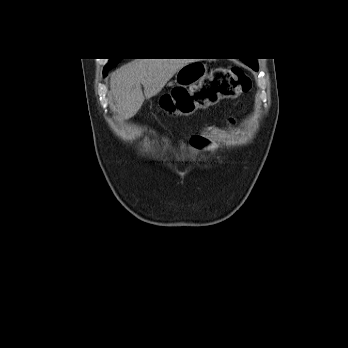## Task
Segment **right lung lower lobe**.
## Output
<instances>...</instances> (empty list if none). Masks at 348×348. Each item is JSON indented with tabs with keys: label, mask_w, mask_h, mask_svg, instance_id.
Returning <instances> with one entry per match:
<instances>
[{
	"label": "right lung lower lobe",
	"mask_w": 348,
	"mask_h": 348,
	"mask_svg": "<svg viewBox=\"0 0 348 348\" xmlns=\"http://www.w3.org/2000/svg\"><path fill=\"white\" fill-rule=\"evenodd\" d=\"M103 72H104V75L106 76L108 71L104 70Z\"/></svg>",
	"instance_id": "98d812e1"
}]
</instances>
